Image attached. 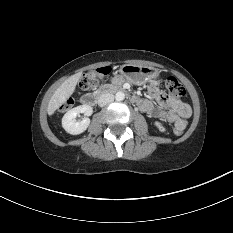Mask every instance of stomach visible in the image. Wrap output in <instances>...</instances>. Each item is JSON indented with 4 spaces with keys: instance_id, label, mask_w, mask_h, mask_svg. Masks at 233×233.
I'll return each instance as SVG.
<instances>
[{
    "instance_id": "obj_1",
    "label": "stomach",
    "mask_w": 233,
    "mask_h": 233,
    "mask_svg": "<svg viewBox=\"0 0 233 233\" xmlns=\"http://www.w3.org/2000/svg\"><path fill=\"white\" fill-rule=\"evenodd\" d=\"M119 71L124 78L137 85L143 84L159 75L156 68L133 64L122 65Z\"/></svg>"
}]
</instances>
